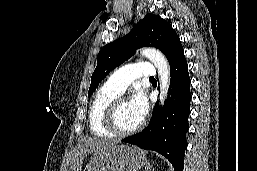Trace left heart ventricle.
Wrapping results in <instances>:
<instances>
[{"label":"left heart ventricle","mask_w":257,"mask_h":171,"mask_svg":"<svg viewBox=\"0 0 257 171\" xmlns=\"http://www.w3.org/2000/svg\"><path fill=\"white\" fill-rule=\"evenodd\" d=\"M116 120L118 126L123 130L131 129L141 122L127 101L118 106Z\"/></svg>","instance_id":"1"}]
</instances>
